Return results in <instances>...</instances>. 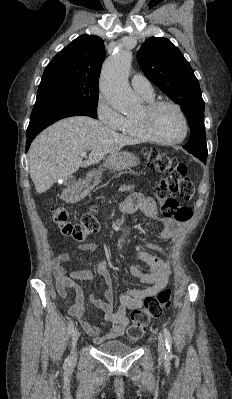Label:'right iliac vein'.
<instances>
[{
    "label": "right iliac vein",
    "mask_w": 232,
    "mask_h": 399,
    "mask_svg": "<svg viewBox=\"0 0 232 399\" xmlns=\"http://www.w3.org/2000/svg\"><path fill=\"white\" fill-rule=\"evenodd\" d=\"M79 337H80V331L79 330H76L75 332H73V334H72L73 347H76L77 341H79Z\"/></svg>",
    "instance_id": "right-iliac-vein-1"
}]
</instances>
